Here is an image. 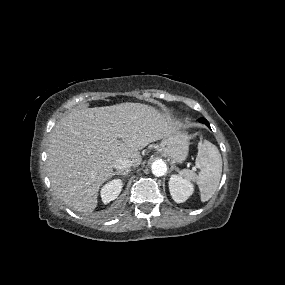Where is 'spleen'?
Here are the masks:
<instances>
[{
  "label": "spleen",
  "mask_w": 285,
  "mask_h": 285,
  "mask_svg": "<svg viewBox=\"0 0 285 285\" xmlns=\"http://www.w3.org/2000/svg\"><path fill=\"white\" fill-rule=\"evenodd\" d=\"M195 164L200 170L199 174L191 170H181L180 176L198 184L201 201L205 202L214 195L222 174V158L218 148L207 140L200 141Z\"/></svg>",
  "instance_id": "1"
}]
</instances>
